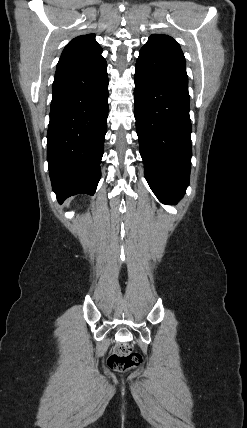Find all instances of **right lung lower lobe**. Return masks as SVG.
<instances>
[{"instance_id":"98d812e1","label":"right lung lower lobe","mask_w":247,"mask_h":428,"mask_svg":"<svg viewBox=\"0 0 247 428\" xmlns=\"http://www.w3.org/2000/svg\"><path fill=\"white\" fill-rule=\"evenodd\" d=\"M107 117L104 57L55 74L47 160L52 188L60 203L79 193L94 195L101 176Z\"/></svg>"}]
</instances>
